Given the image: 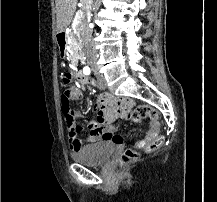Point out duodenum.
Here are the masks:
<instances>
[{"mask_svg":"<svg viewBox=\"0 0 217 202\" xmlns=\"http://www.w3.org/2000/svg\"><path fill=\"white\" fill-rule=\"evenodd\" d=\"M57 44L59 49V55L65 58L67 55V33L65 31H60L57 34ZM78 81L87 86H92L94 83L90 81L82 70H78L75 74Z\"/></svg>","mask_w":217,"mask_h":202,"instance_id":"410a0bca","label":"duodenum"}]
</instances>
